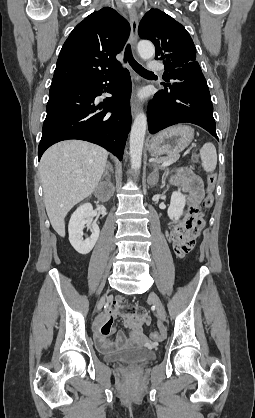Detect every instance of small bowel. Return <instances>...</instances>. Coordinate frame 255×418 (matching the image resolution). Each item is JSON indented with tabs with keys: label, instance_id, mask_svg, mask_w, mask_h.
Returning <instances> with one entry per match:
<instances>
[{
	"label": "small bowel",
	"instance_id": "c3829d8e",
	"mask_svg": "<svg viewBox=\"0 0 255 418\" xmlns=\"http://www.w3.org/2000/svg\"><path fill=\"white\" fill-rule=\"evenodd\" d=\"M172 182L188 194L190 206L198 205L203 196V184L199 177L188 169H182L174 175ZM198 236V228H174L167 235L171 256H175L177 261H182L184 256H189L190 249H195L197 246ZM117 316L123 318L125 326L131 331V341L143 340L142 328L150 323V316L143 308H134L122 299H117L101 315L94 330L96 344L103 351L122 348L129 343L123 332H118L113 341L109 340V336L114 331V320Z\"/></svg>",
	"mask_w": 255,
	"mask_h": 418
}]
</instances>
